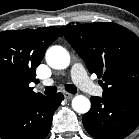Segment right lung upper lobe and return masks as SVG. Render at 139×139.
<instances>
[{
	"instance_id": "1",
	"label": "right lung upper lobe",
	"mask_w": 139,
	"mask_h": 139,
	"mask_svg": "<svg viewBox=\"0 0 139 139\" xmlns=\"http://www.w3.org/2000/svg\"><path fill=\"white\" fill-rule=\"evenodd\" d=\"M59 36L62 34L55 27L0 33V113L44 97L29 84L38 81L35 69Z\"/></svg>"
}]
</instances>
